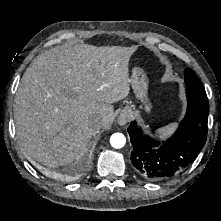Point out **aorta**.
<instances>
[{
  "mask_svg": "<svg viewBox=\"0 0 221 221\" xmlns=\"http://www.w3.org/2000/svg\"><path fill=\"white\" fill-rule=\"evenodd\" d=\"M126 143V138L122 133H114L110 137V144L113 148L120 149Z\"/></svg>",
  "mask_w": 221,
  "mask_h": 221,
  "instance_id": "762f6f07",
  "label": "aorta"
}]
</instances>
